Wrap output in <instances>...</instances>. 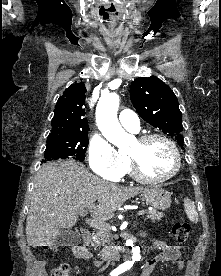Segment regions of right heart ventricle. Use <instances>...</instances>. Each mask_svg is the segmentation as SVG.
I'll list each match as a JSON object with an SVG mask.
<instances>
[{
	"instance_id": "e07e8e85",
	"label": "right heart ventricle",
	"mask_w": 221,
	"mask_h": 276,
	"mask_svg": "<svg viewBox=\"0 0 221 276\" xmlns=\"http://www.w3.org/2000/svg\"><path fill=\"white\" fill-rule=\"evenodd\" d=\"M129 170H130V167H129V162H128V165H127L125 173L128 172Z\"/></svg>"
}]
</instances>
